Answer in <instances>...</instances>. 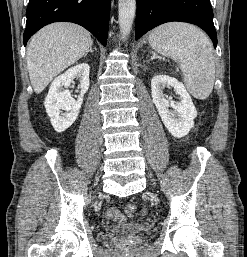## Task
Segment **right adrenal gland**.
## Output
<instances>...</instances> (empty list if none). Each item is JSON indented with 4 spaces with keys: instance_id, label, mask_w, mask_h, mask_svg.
I'll return each instance as SVG.
<instances>
[{
    "instance_id": "2a0ac1e0",
    "label": "right adrenal gland",
    "mask_w": 247,
    "mask_h": 257,
    "mask_svg": "<svg viewBox=\"0 0 247 257\" xmlns=\"http://www.w3.org/2000/svg\"><path fill=\"white\" fill-rule=\"evenodd\" d=\"M89 52H90V53H93V52H94V50L92 49V46H91L90 49L86 52V54L84 55V57H86Z\"/></svg>"
}]
</instances>
